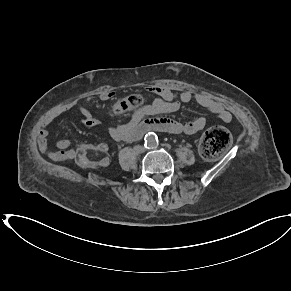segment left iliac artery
<instances>
[{"label":"left iliac artery","mask_w":291,"mask_h":291,"mask_svg":"<svg viewBox=\"0 0 291 291\" xmlns=\"http://www.w3.org/2000/svg\"><path fill=\"white\" fill-rule=\"evenodd\" d=\"M156 141H157V139H156ZM158 143V142H157ZM154 145H156V142H154Z\"/></svg>","instance_id":"44dca946"}]
</instances>
